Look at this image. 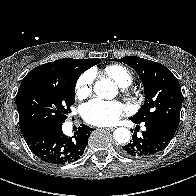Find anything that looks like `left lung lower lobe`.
Returning <instances> with one entry per match:
<instances>
[{
  "instance_id": "0a47b994",
  "label": "left lung lower lobe",
  "mask_w": 196,
  "mask_h": 196,
  "mask_svg": "<svg viewBox=\"0 0 196 196\" xmlns=\"http://www.w3.org/2000/svg\"><path fill=\"white\" fill-rule=\"evenodd\" d=\"M135 124H140L130 118ZM146 130L142 131V136L138 137L137 132H133L130 143L122 147V153L126 156L136 158H147L164 150L173 138L175 132L158 121L147 120L143 122ZM138 126V125H137Z\"/></svg>"
}]
</instances>
